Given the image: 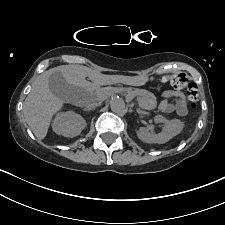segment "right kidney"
<instances>
[{"mask_svg": "<svg viewBox=\"0 0 225 225\" xmlns=\"http://www.w3.org/2000/svg\"><path fill=\"white\" fill-rule=\"evenodd\" d=\"M85 126V119L73 111L57 114L52 123L53 131L65 137L78 136Z\"/></svg>", "mask_w": 225, "mask_h": 225, "instance_id": "ca27d5eb", "label": "right kidney"}]
</instances>
